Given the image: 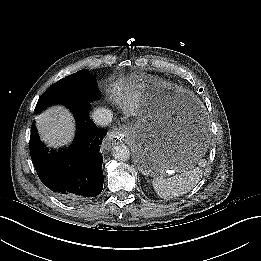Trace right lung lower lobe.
I'll return each mask as SVG.
<instances>
[{
  "instance_id": "obj_1",
  "label": "right lung lower lobe",
  "mask_w": 261,
  "mask_h": 261,
  "mask_svg": "<svg viewBox=\"0 0 261 261\" xmlns=\"http://www.w3.org/2000/svg\"><path fill=\"white\" fill-rule=\"evenodd\" d=\"M74 113L77 133L65 150H49L35 128L30 137V154L41 182L66 202H80L99 195L103 189L100 145L106 131L89 119V102L69 107Z\"/></svg>"
}]
</instances>
